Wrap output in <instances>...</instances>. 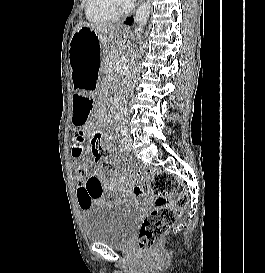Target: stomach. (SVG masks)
Returning <instances> with one entry per match:
<instances>
[{
    "label": "stomach",
    "mask_w": 265,
    "mask_h": 273,
    "mask_svg": "<svg viewBox=\"0 0 265 273\" xmlns=\"http://www.w3.org/2000/svg\"><path fill=\"white\" fill-rule=\"evenodd\" d=\"M128 34L127 29H120L117 40ZM109 41L87 27H81L72 35L69 61L75 95H92V90H98L100 85V80L94 79L107 78L105 65L100 64L105 49H132V44H108ZM86 78L93 80H84Z\"/></svg>",
    "instance_id": "1"
}]
</instances>
